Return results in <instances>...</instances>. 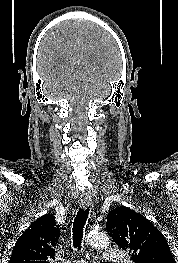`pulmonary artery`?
<instances>
[{
  "mask_svg": "<svg viewBox=\"0 0 178 263\" xmlns=\"http://www.w3.org/2000/svg\"><path fill=\"white\" fill-rule=\"evenodd\" d=\"M104 257L114 262L127 263V257L125 256V254L117 249H112L106 252L104 254ZM68 263H85V261L79 259V260L69 261Z\"/></svg>",
  "mask_w": 178,
  "mask_h": 263,
  "instance_id": "obj_1",
  "label": "pulmonary artery"
}]
</instances>
